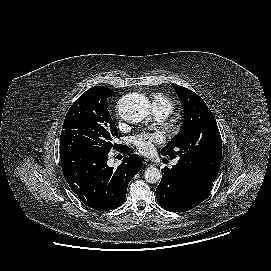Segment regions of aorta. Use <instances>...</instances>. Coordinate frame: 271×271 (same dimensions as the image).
Returning a JSON list of instances; mask_svg holds the SVG:
<instances>
[{
  "label": "aorta",
  "mask_w": 271,
  "mask_h": 271,
  "mask_svg": "<svg viewBox=\"0 0 271 271\" xmlns=\"http://www.w3.org/2000/svg\"><path fill=\"white\" fill-rule=\"evenodd\" d=\"M149 108L150 104L147 97L132 93L122 100L121 116L128 122L137 123L150 114ZM144 178L148 183H157L161 180V171L156 167H149L144 172Z\"/></svg>",
  "instance_id": "aorta-1"
}]
</instances>
